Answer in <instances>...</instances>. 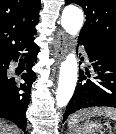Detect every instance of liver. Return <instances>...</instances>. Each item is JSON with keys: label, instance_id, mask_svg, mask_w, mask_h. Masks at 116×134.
<instances>
[{"label": "liver", "instance_id": "6515ba94", "mask_svg": "<svg viewBox=\"0 0 116 134\" xmlns=\"http://www.w3.org/2000/svg\"><path fill=\"white\" fill-rule=\"evenodd\" d=\"M0 134H18V131L12 126L0 121Z\"/></svg>", "mask_w": 116, "mask_h": 134}]
</instances>
